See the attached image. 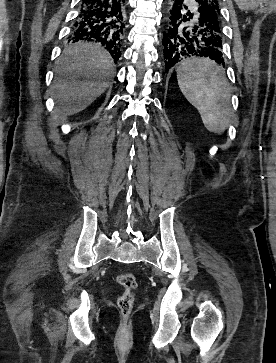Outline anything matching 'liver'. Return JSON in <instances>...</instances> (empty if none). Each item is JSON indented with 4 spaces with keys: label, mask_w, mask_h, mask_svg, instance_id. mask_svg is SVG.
<instances>
[{
    "label": "liver",
    "mask_w": 276,
    "mask_h": 363,
    "mask_svg": "<svg viewBox=\"0 0 276 363\" xmlns=\"http://www.w3.org/2000/svg\"><path fill=\"white\" fill-rule=\"evenodd\" d=\"M55 72L59 76L52 86L58 103L55 112L67 117L85 109L106 90L114 63L99 45L77 42L64 49Z\"/></svg>",
    "instance_id": "1"
}]
</instances>
